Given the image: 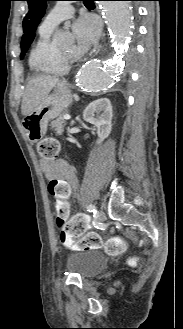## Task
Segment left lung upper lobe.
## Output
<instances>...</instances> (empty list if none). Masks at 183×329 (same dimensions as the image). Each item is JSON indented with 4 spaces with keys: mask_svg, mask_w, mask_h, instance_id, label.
Here are the masks:
<instances>
[{
    "mask_svg": "<svg viewBox=\"0 0 183 329\" xmlns=\"http://www.w3.org/2000/svg\"><path fill=\"white\" fill-rule=\"evenodd\" d=\"M28 2L29 11L23 20L24 35L21 40V59L27 52L35 38V30L41 21L46 9V1L54 0H25Z\"/></svg>",
    "mask_w": 183,
    "mask_h": 329,
    "instance_id": "5c2ea615",
    "label": "left lung upper lobe"
}]
</instances>
